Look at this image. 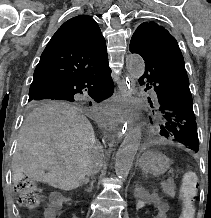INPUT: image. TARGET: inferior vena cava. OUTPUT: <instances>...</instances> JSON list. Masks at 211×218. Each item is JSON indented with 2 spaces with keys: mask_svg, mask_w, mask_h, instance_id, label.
I'll return each mask as SVG.
<instances>
[{
  "mask_svg": "<svg viewBox=\"0 0 211 218\" xmlns=\"http://www.w3.org/2000/svg\"><path fill=\"white\" fill-rule=\"evenodd\" d=\"M99 164H100V162H99V160H98V162H97V168H96V170H94V172H92V174H96V172H97V170H98V168H99ZM85 182H86V184H87L88 178H85Z\"/></svg>",
  "mask_w": 211,
  "mask_h": 218,
  "instance_id": "602c4592",
  "label": "inferior vena cava"
}]
</instances>
